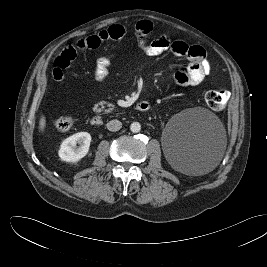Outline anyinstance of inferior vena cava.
<instances>
[{"label": "inferior vena cava", "mask_w": 267, "mask_h": 267, "mask_svg": "<svg viewBox=\"0 0 267 267\" xmlns=\"http://www.w3.org/2000/svg\"><path fill=\"white\" fill-rule=\"evenodd\" d=\"M121 127L122 123L119 120H111L107 123V129L112 132L120 130Z\"/></svg>", "instance_id": "1"}]
</instances>
